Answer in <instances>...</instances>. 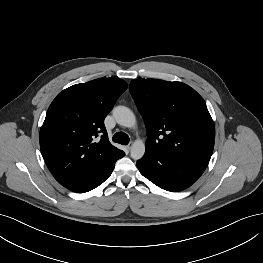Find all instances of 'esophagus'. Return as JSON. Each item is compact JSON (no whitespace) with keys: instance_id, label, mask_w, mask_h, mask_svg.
I'll return each mask as SVG.
<instances>
[{"instance_id":"1","label":"esophagus","mask_w":263,"mask_h":263,"mask_svg":"<svg viewBox=\"0 0 263 263\" xmlns=\"http://www.w3.org/2000/svg\"><path fill=\"white\" fill-rule=\"evenodd\" d=\"M126 149H127V151H130V149H131V144L127 145V146H126Z\"/></svg>"}]
</instances>
